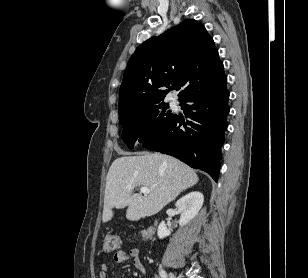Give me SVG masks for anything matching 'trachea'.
<instances>
[{
    "label": "trachea",
    "instance_id": "trachea-1",
    "mask_svg": "<svg viewBox=\"0 0 308 278\" xmlns=\"http://www.w3.org/2000/svg\"><path fill=\"white\" fill-rule=\"evenodd\" d=\"M174 89H176V90H177V89H178V87H174Z\"/></svg>",
    "mask_w": 308,
    "mask_h": 278
}]
</instances>
